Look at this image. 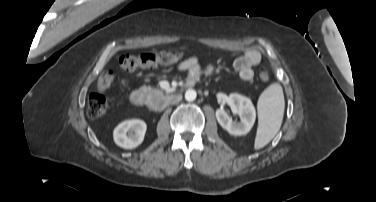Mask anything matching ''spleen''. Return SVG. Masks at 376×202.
Masks as SVG:
<instances>
[{"mask_svg":"<svg viewBox=\"0 0 376 202\" xmlns=\"http://www.w3.org/2000/svg\"><path fill=\"white\" fill-rule=\"evenodd\" d=\"M284 95L280 84L270 85L260 95L257 108L259 125L254 148L260 149L267 145L279 131L284 115Z\"/></svg>","mask_w":376,"mask_h":202,"instance_id":"3e777b00","label":"spleen"}]
</instances>
